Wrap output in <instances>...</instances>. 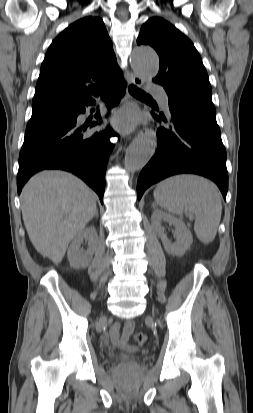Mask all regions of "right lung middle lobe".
I'll return each mask as SVG.
<instances>
[{"label": "right lung middle lobe", "instance_id": "dd1d6c3e", "mask_svg": "<svg viewBox=\"0 0 253 413\" xmlns=\"http://www.w3.org/2000/svg\"><path fill=\"white\" fill-rule=\"evenodd\" d=\"M73 110L50 112L32 115L28 122L25 138L40 134L71 121Z\"/></svg>", "mask_w": 253, "mask_h": 413}]
</instances>
